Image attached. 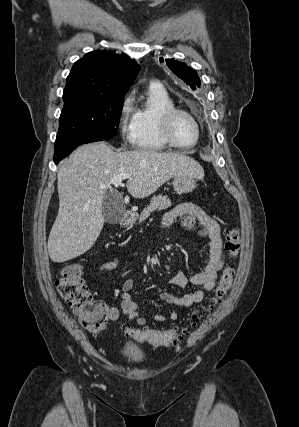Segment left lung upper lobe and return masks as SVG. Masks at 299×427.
<instances>
[{
  "label": "left lung upper lobe",
  "instance_id": "5c2ea615",
  "mask_svg": "<svg viewBox=\"0 0 299 427\" xmlns=\"http://www.w3.org/2000/svg\"><path fill=\"white\" fill-rule=\"evenodd\" d=\"M161 61L163 60L161 59ZM166 65L172 70L174 74L181 78L193 90L200 86L201 82L197 72L191 67L187 66V64L174 59H167Z\"/></svg>",
  "mask_w": 299,
  "mask_h": 427
}]
</instances>
